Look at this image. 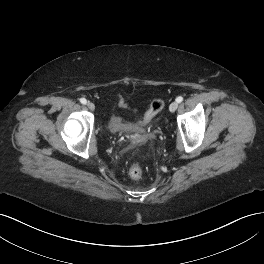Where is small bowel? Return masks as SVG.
<instances>
[{"mask_svg":"<svg viewBox=\"0 0 264 264\" xmlns=\"http://www.w3.org/2000/svg\"><path fill=\"white\" fill-rule=\"evenodd\" d=\"M119 104H120L122 107H127V108H129V106L125 103V101L123 100V98H120V100H119Z\"/></svg>","mask_w":264,"mask_h":264,"instance_id":"small-bowel-1","label":"small bowel"}]
</instances>
